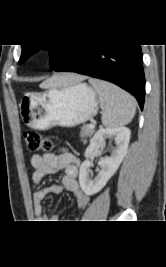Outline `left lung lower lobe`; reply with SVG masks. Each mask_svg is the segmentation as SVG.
Wrapping results in <instances>:
<instances>
[{"instance_id": "1", "label": "left lung lower lobe", "mask_w": 166, "mask_h": 267, "mask_svg": "<svg viewBox=\"0 0 166 267\" xmlns=\"http://www.w3.org/2000/svg\"><path fill=\"white\" fill-rule=\"evenodd\" d=\"M53 70L112 82L131 93L143 109L145 77L140 45L68 44Z\"/></svg>"}]
</instances>
